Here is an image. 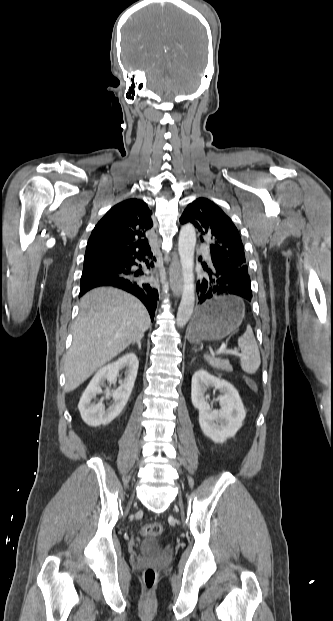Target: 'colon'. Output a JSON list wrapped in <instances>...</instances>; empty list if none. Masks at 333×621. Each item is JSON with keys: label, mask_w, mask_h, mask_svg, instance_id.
Wrapping results in <instances>:
<instances>
[{"label": "colon", "mask_w": 333, "mask_h": 621, "mask_svg": "<svg viewBox=\"0 0 333 621\" xmlns=\"http://www.w3.org/2000/svg\"><path fill=\"white\" fill-rule=\"evenodd\" d=\"M247 383L248 385L254 389L255 388V384L251 379H247ZM165 530V527L162 523L160 522H154V523H149V524H145L142 527V534L144 536H158L161 535ZM156 579H157V573L153 568H147L144 573H143V583H144V590H145V596L146 599L149 600L153 587L156 583Z\"/></svg>", "instance_id": "5ec220e1"}]
</instances>
